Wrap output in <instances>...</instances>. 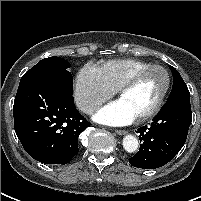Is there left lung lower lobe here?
Returning a JSON list of instances; mask_svg holds the SVG:
<instances>
[{
	"label": "left lung lower lobe",
	"mask_w": 201,
	"mask_h": 201,
	"mask_svg": "<svg viewBox=\"0 0 201 201\" xmlns=\"http://www.w3.org/2000/svg\"><path fill=\"white\" fill-rule=\"evenodd\" d=\"M192 120L190 95H180L162 106L150 126L136 131L142 141L139 151L129 159L132 166L155 169L167 164L185 144Z\"/></svg>",
	"instance_id": "obj_1"
}]
</instances>
